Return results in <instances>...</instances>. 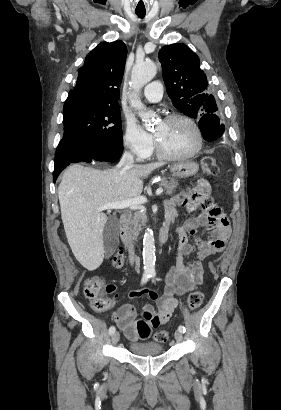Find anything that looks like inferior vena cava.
I'll return each mask as SVG.
<instances>
[{
  "label": "inferior vena cava",
  "instance_id": "obj_1",
  "mask_svg": "<svg viewBox=\"0 0 281 410\" xmlns=\"http://www.w3.org/2000/svg\"><path fill=\"white\" fill-rule=\"evenodd\" d=\"M133 163H134L133 155H131L129 152H125L123 154L117 168L127 170V169L134 166ZM128 251H129L130 263H131V265H133L134 260H135V253H134V247L131 243L129 244Z\"/></svg>",
  "mask_w": 281,
  "mask_h": 410
}]
</instances>
